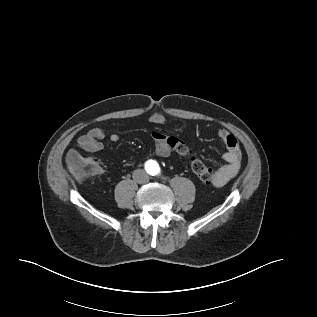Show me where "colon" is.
I'll return each mask as SVG.
<instances>
[{
    "instance_id": "obj_1",
    "label": "colon",
    "mask_w": 317,
    "mask_h": 317,
    "mask_svg": "<svg viewBox=\"0 0 317 317\" xmlns=\"http://www.w3.org/2000/svg\"><path fill=\"white\" fill-rule=\"evenodd\" d=\"M181 155L189 158L191 171L201 182L210 183L213 181V169L198 159L189 148L181 151ZM70 170L77 180L83 181L94 176L98 171V167L89 158L77 157L70 163Z\"/></svg>"
}]
</instances>
